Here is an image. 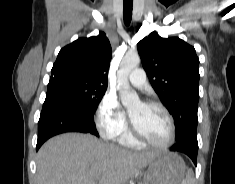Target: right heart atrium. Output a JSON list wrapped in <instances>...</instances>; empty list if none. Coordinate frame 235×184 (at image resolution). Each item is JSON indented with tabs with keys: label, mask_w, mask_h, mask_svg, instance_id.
<instances>
[{
	"label": "right heart atrium",
	"mask_w": 235,
	"mask_h": 184,
	"mask_svg": "<svg viewBox=\"0 0 235 184\" xmlns=\"http://www.w3.org/2000/svg\"><path fill=\"white\" fill-rule=\"evenodd\" d=\"M94 122L101 136L117 139L127 129V116L120 108L116 97L104 95L94 113Z\"/></svg>",
	"instance_id": "1"
}]
</instances>
